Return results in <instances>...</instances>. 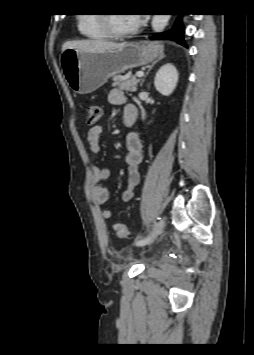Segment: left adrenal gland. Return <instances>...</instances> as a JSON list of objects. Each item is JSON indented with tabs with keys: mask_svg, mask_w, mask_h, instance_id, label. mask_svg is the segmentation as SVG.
I'll list each match as a JSON object with an SVG mask.
<instances>
[{
	"mask_svg": "<svg viewBox=\"0 0 254 355\" xmlns=\"http://www.w3.org/2000/svg\"><path fill=\"white\" fill-rule=\"evenodd\" d=\"M164 57H165V55L162 53V54L159 55L158 59L152 63V65L149 67V69H148L146 75L144 76V78L142 79V81H141V83H140V86H141V87L143 86V83H144V81H145V78L147 77V75L149 74V72L151 71V69L154 67V65H155L158 61H160L161 59H163Z\"/></svg>",
	"mask_w": 254,
	"mask_h": 355,
	"instance_id": "left-adrenal-gland-1",
	"label": "left adrenal gland"
}]
</instances>
